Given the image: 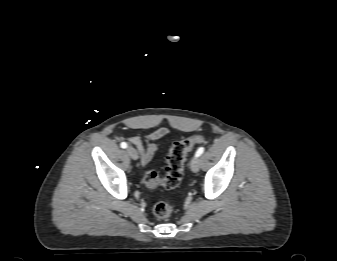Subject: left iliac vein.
I'll return each instance as SVG.
<instances>
[{
	"mask_svg": "<svg viewBox=\"0 0 337 261\" xmlns=\"http://www.w3.org/2000/svg\"><path fill=\"white\" fill-rule=\"evenodd\" d=\"M190 168L193 172H197L199 170V159L198 157H193L190 162Z\"/></svg>",
	"mask_w": 337,
	"mask_h": 261,
	"instance_id": "1",
	"label": "left iliac vein"
}]
</instances>
